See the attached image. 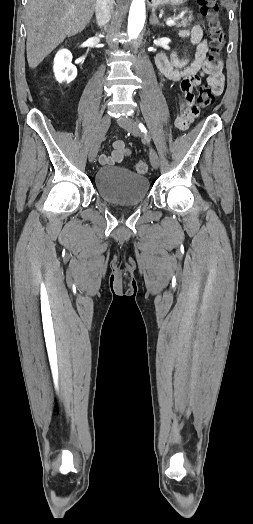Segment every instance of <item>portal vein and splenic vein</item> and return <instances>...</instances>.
I'll list each match as a JSON object with an SVG mask.
<instances>
[{"label":"portal vein and splenic vein","instance_id":"18ae733b","mask_svg":"<svg viewBox=\"0 0 253 524\" xmlns=\"http://www.w3.org/2000/svg\"><path fill=\"white\" fill-rule=\"evenodd\" d=\"M175 21H176V18H170V19H168V20L166 21V24H167L168 26H173V25H175Z\"/></svg>","mask_w":253,"mask_h":524}]
</instances>
